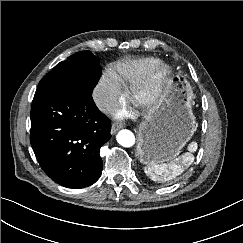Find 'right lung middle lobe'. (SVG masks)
Returning a JSON list of instances; mask_svg holds the SVG:
<instances>
[{
	"mask_svg": "<svg viewBox=\"0 0 243 243\" xmlns=\"http://www.w3.org/2000/svg\"><path fill=\"white\" fill-rule=\"evenodd\" d=\"M100 77L99 59L90 51H80L57 64L39 82L38 88L72 91L93 90Z\"/></svg>",
	"mask_w": 243,
	"mask_h": 243,
	"instance_id": "obj_1",
	"label": "right lung middle lobe"
}]
</instances>
